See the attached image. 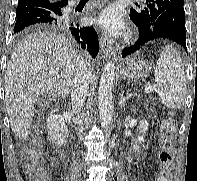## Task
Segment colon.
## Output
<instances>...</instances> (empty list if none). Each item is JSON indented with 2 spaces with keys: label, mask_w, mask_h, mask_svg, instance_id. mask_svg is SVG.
<instances>
[{
  "label": "colon",
  "mask_w": 197,
  "mask_h": 181,
  "mask_svg": "<svg viewBox=\"0 0 197 181\" xmlns=\"http://www.w3.org/2000/svg\"><path fill=\"white\" fill-rule=\"evenodd\" d=\"M161 151L159 153L160 172L155 181H171L172 157L170 149L175 138L176 122L173 118H167L162 125ZM23 168L33 181H47V173L43 169L40 153L30 148L26 151Z\"/></svg>",
  "instance_id": "colon-1"
}]
</instances>
